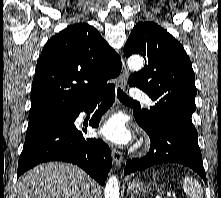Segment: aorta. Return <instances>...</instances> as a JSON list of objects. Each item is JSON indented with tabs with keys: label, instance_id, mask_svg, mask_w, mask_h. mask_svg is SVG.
<instances>
[{
	"label": "aorta",
	"instance_id": "1",
	"mask_svg": "<svg viewBox=\"0 0 221 198\" xmlns=\"http://www.w3.org/2000/svg\"><path fill=\"white\" fill-rule=\"evenodd\" d=\"M127 64L130 69L139 70L143 67V59L140 56H131ZM105 198H119V181L116 176L108 179L105 186Z\"/></svg>",
	"mask_w": 221,
	"mask_h": 198
}]
</instances>
